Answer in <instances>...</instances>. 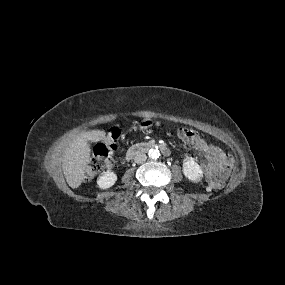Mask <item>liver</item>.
<instances>
[{"instance_id":"1","label":"liver","mask_w":285,"mask_h":285,"mask_svg":"<svg viewBox=\"0 0 285 285\" xmlns=\"http://www.w3.org/2000/svg\"><path fill=\"white\" fill-rule=\"evenodd\" d=\"M104 136L105 132L100 130L82 132L67 148L63 159V172L71 188H78L84 179L91 152L88 141L96 142Z\"/></svg>"}]
</instances>
